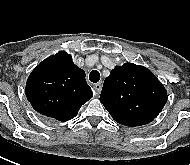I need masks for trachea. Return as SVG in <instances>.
<instances>
[{
    "label": "trachea",
    "instance_id": "1",
    "mask_svg": "<svg viewBox=\"0 0 190 165\" xmlns=\"http://www.w3.org/2000/svg\"><path fill=\"white\" fill-rule=\"evenodd\" d=\"M89 79L93 83H97L100 80V73L97 70H93L89 74Z\"/></svg>",
    "mask_w": 190,
    "mask_h": 165
}]
</instances>
